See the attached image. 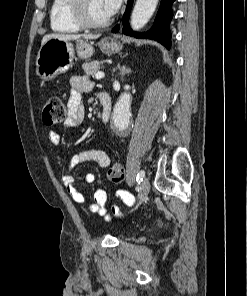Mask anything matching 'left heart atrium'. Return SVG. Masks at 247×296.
<instances>
[{"label":"left heart atrium","mask_w":247,"mask_h":296,"mask_svg":"<svg viewBox=\"0 0 247 296\" xmlns=\"http://www.w3.org/2000/svg\"><path fill=\"white\" fill-rule=\"evenodd\" d=\"M102 2L107 15L110 17L117 12L122 0H102Z\"/></svg>","instance_id":"39dd6f15"}]
</instances>
